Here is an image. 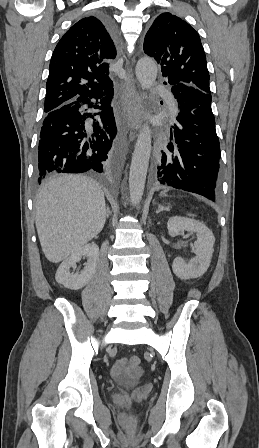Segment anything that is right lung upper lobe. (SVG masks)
Masks as SVG:
<instances>
[{"instance_id":"cb5924a9","label":"right lung upper lobe","mask_w":259,"mask_h":448,"mask_svg":"<svg viewBox=\"0 0 259 448\" xmlns=\"http://www.w3.org/2000/svg\"><path fill=\"white\" fill-rule=\"evenodd\" d=\"M115 57L114 37L102 21L90 16L75 23L52 54L44 112L108 91L113 86L109 64Z\"/></svg>"}]
</instances>
